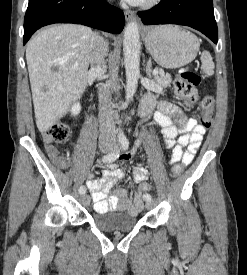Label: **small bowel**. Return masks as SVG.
Instances as JSON below:
<instances>
[{"instance_id": "c3829d8e", "label": "small bowel", "mask_w": 247, "mask_h": 275, "mask_svg": "<svg viewBox=\"0 0 247 275\" xmlns=\"http://www.w3.org/2000/svg\"><path fill=\"white\" fill-rule=\"evenodd\" d=\"M154 104L152 97H146L143 104L145 112ZM153 119L161 128L165 146L172 149L170 164L181 161L184 165H189L202 143L205 128L199 125L197 120L187 119L177 106L166 101L159 103V109L154 113ZM45 152L56 167L60 169L71 167V159L61 155L54 146L46 145ZM130 158L131 154H125L119 161H128ZM123 177L122 170L110 165L103 169L99 178H96L93 172L87 173L86 185L91 192L95 212L120 211L130 214L140 212L143 195L140 193L130 195L125 189L116 188L117 182ZM147 179V169L142 166L136 167L134 181L142 184Z\"/></svg>"}]
</instances>
